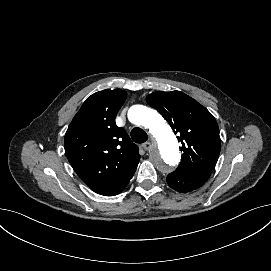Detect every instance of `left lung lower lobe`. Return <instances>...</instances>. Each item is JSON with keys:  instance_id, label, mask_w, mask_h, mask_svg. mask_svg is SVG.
Instances as JSON below:
<instances>
[{"instance_id": "obj_1", "label": "left lung lower lobe", "mask_w": 271, "mask_h": 271, "mask_svg": "<svg viewBox=\"0 0 271 271\" xmlns=\"http://www.w3.org/2000/svg\"><path fill=\"white\" fill-rule=\"evenodd\" d=\"M209 177L210 174L195 175L174 171L168 174L166 180L174 190L187 193L202 187Z\"/></svg>"}]
</instances>
